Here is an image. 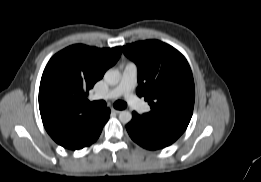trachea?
Returning a JSON list of instances; mask_svg holds the SVG:
<instances>
[{
	"instance_id": "trachea-1",
	"label": "trachea",
	"mask_w": 261,
	"mask_h": 182,
	"mask_svg": "<svg viewBox=\"0 0 261 182\" xmlns=\"http://www.w3.org/2000/svg\"><path fill=\"white\" fill-rule=\"evenodd\" d=\"M88 105L93 108L102 109L106 107V102L103 100L88 102ZM114 107L118 110H123L127 107V104L124 101H116Z\"/></svg>"
}]
</instances>
